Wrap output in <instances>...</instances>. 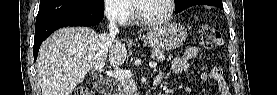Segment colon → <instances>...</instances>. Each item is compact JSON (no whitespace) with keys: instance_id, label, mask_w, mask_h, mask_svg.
I'll use <instances>...</instances> for the list:
<instances>
[{"instance_id":"5ec220e1","label":"colon","mask_w":277,"mask_h":95,"mask_svg":"<svg viewBox=\"0 0 277 95\" xmlns=\"http://www.w3.org/2000/svg\"><path fill=\"white\" fill-rule=\"evenodd\" d=\"M200 44L204 48H216L223 43V38L218 30L211 26H202L199 29ZM75 95H90V91L83 86L74 89Z\"/></svg>"}]
</instances>
